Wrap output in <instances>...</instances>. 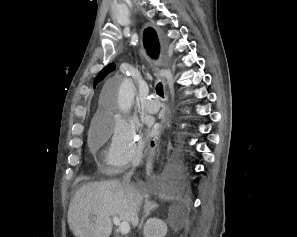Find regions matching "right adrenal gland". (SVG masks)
<instances>
[{"mask_svg": "<svg viewBox=\"0 0 297 237\" xmlns=\"http://www.w3.org/2000/svg\"><path fill=\"white\" fill-rule=\"evenodd\" d=\"M158 208V204L149 200V196H145L144 216L139 224V229L142 227L144 219L150 214L151 210Z\"/></svg>", "mask_w": 297, "mask_h": 237, "instance_id": "obj_1", "label": "right adrenal gland"}]
</instances>
